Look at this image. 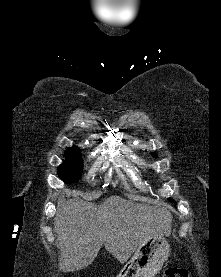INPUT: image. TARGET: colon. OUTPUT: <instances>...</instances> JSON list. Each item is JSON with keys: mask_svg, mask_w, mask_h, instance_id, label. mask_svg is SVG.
<instances>
[{"mask_svg": "<svg viewBox=\"0 0 221 277\" xmlns=\"http://www.w3.org/2000/svg\"><path fill=\"white\" fill-rule=\"evenodd\" d=\"M163 277H188V272L183 268L172 267L165 271Z\"/></svg>", "mask_w": 221, "mask_h": 277, "instance_id": "1", "label": "colon"}]
</instances>
